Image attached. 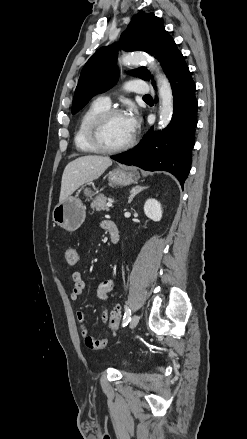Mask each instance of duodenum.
Here are the masks:
<instances>
[{"label": "duodenum", "instance_id": "1", "mask_svg": "<svg viewBox=\"0 0 247 439\" xmlns=\"http://www.w3.org/2000/svg\"><path fill=\"white\" fill-rule=\"evenodd\" d=\"M110 239L112 243H117L119 241V230L117 226L114 223H110L109 229H108Z\"/></svg>", "mask_w": 247, "mask_h": 439}]
</instances>
